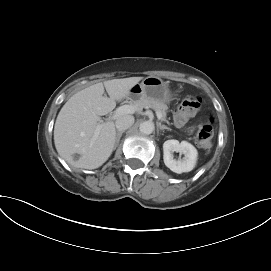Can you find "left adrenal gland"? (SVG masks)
Segmentation results:
<instances>
[{
	"mask_svg": "<svg viewBox=\"0 0 271 271\" xmlns=\"http://www.w3.org/2000/svg\"><path fill=\"white\" fill-rule=\"evenodd\" d=\"M158 128H159L160 130L167 129V130L171 131V129H170L169 127H167V126H165V125H161L160 123L158 124Z\"/></svg>",
	"mask_w": 271,
	"mask_h": 271,
	"instance_id": "obj_1",
	"label": "left adrenal gland"
}]
</instances>
